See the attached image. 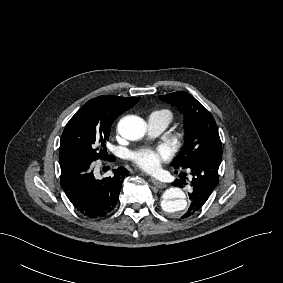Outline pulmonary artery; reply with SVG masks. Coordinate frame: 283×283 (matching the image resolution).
Listing matches in <instances>:
<instances>
[{
    "label": "pulmonary artery",
    "instance_id": "1",
    "mask_svg": "<svg viewBox=\"0 0 283 283\" xmlns=\"http://www.w3.org/2000/svg\"><path fill=\"white\" fill-rule=\"evenodd\" d=\"M147 123L149 133L151 135H158L168 126L169 120L167 117L153 113L149 115Z\"/></svg>",
    "mask_w": 283,
    "mask_h": 283
}]
</instances>
